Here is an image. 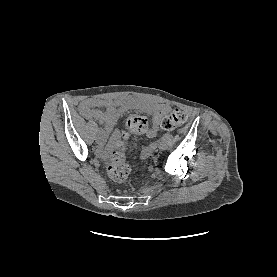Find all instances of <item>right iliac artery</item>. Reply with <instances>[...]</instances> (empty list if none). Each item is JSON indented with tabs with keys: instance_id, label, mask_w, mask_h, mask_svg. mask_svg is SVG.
Returning <instances> with one entry per match:
<instances>
[{
	"instance_id": "1",
	"label": "right iliac artery",
	"mask_w": 277,
	"mask_h": 277,
	"mask_svg": "<svg viewBox=\"0 0 277 277\" xmlns=\"http://www.w3.org/2000/svg\"><path fill=\"white\" fill-rule=\"evenodd\" d=\"M102 136V132L99 130L98 132H97V137H101Z\"/></svg>"
}]
</instances>
